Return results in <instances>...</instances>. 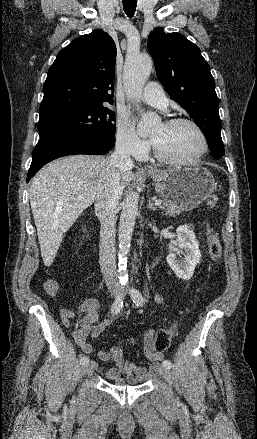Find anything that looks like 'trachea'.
<instances>
[{"mask_svg": "<svg viewBox=\"0 0 257 439\" xmlns=\"http://www.w3.org/2000/svg\"><path fill=\"white\" fill-rule=\"evenodd\" d=\"M137 0H123V8L128 17H133L136 10Z\"/></svg>", "mask_w": 257, "mask_h": 439, "instance_id": "trachea-1", "label": "trachea"}]
</instances>
